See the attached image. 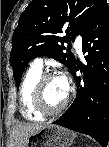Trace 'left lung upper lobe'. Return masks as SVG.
<instances>
[{"mask_svg": "<svg viewBox=\"0 0 109 147\" xmlns=\"http://www.w3.org/2000/svg\"><path fill=\"white\" fill-rule=\"evenodd\" d=\"M105 0H33L20 16L12 38L10 62L17 87L27 64L39 56H51L74 71L78 60L69 51L77 35L93 20ZM65 31L66 36L61 34ZM104 84L98 72L90 73L89 89L95 93Z\"/></svg>", "mask_w": 109, "mask_h": 147, "instance_id": "1", "label": "left lung upper lobe"}]
</instances>
